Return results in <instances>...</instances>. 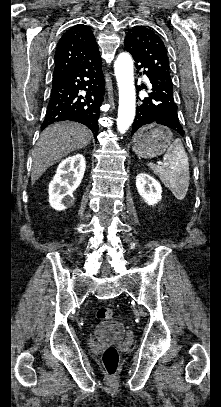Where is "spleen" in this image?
I'll return each mask as SVG.
<instances>
[{
	"instance_id": "spleen-1",
	"label": "spleen",
	"mask_w": 221,
	"mask_h": 407,
	"mask_svg": "<svg viewBox=\"0 0 221 407\" xmlns=\"http://www.w3.org/2000/svg\"><path fill=\"white\" fill-rule=\"evenodd\" d=\"M163 165L148 163L164 185L171 190L176 199L185 198L190 181L187 153L180 139H175L163 157Z\"/></svg>"
}]
</instances>
